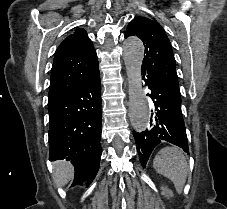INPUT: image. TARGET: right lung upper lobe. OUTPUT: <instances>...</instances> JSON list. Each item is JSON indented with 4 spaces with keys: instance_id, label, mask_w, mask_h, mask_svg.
Segmentation results:
<instances>
[{
    "instance_id": "cb5924a9",
    "label": "right lung upper lobe",
    "mask_w": 227,
    "mask_h": 209,
    "mask_svg": "<svg viewBox=\"0 0 227 209\" xmlns=\"http://www.w3.org/2000/svg\"><path fill=\"white\" fill-rule=\"evenodd\" d=\"M77 66L87 69L98 66L96 51L84 29H77L68 36L55 52L48 103L67 95L84 82L88 74L73 73L74 67Z\"/></svg>"
}]
</instances>
